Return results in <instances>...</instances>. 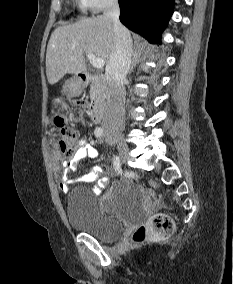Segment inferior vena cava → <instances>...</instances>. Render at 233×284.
Instances as JSON below:
<instances>
[{"label":"inferior vena cava","instance_id":"1","mask_svg":"<svg viewBox=\"0 0 233 284\" xmlns=\"http://www.w3.org/2000/svg\"><path fill=\"white\" fill-rule=\"evenodd\" d=\"M118 0H108L104 16L113 23L115 39L114 50L106 65L108 83L107 103L102 127L107 133L120 132L124 129L125 88L124 82L130 70L132 40L129 31L120 23Z\"/></svg>","mask_w":233,"mask_h":284}]
</instances>
